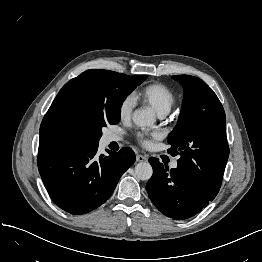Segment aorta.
I'll return each instance as SVG.
<instances>
[{
  "label": "aorta",
  "instance_id": "1",
  "mask_svg": "<svg viewBox=\"0 0 262 262\" xmlns=\"http://www.w3.org/2000/svg\"><path fill=\"white\" fill-rule=\"evenodd\" d=\"M132 120L139 127L152 126L155 122L154 112L150 109H137L133 113ZM152 173V166L148 162H140L135 166V176L139 180H149Z\"/></svg>",
  "mask_w": 262,
  "mask_h": 262
}]
</instances>
